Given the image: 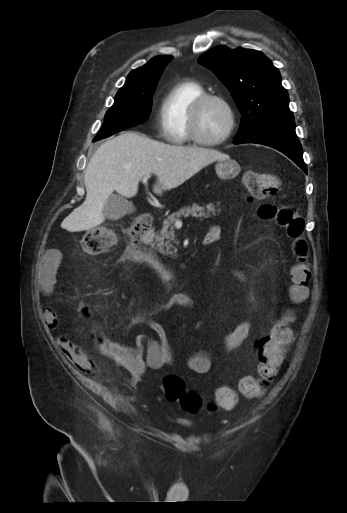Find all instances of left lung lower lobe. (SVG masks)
I'll list each match as a JSON object with an SVG mask.
<instances>
[{"label":"left lung lower lobe","mask_w":347,"mask_h":513,"mask_svg":"<svg viewBox=\"0 0 347 513\" xmlns=\"http://www.w3.org/2000/svg\"><path fill=\"white\" fill-rule=\"evenodd\" d=\"M241 143H256L272 147L288 156L307 174V167L303 160L301 144L295 133L294 122L272 123L243 138L234 140V144Z\"/></svg>","instance_id":"1"}]
</instances>
